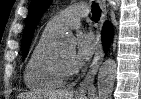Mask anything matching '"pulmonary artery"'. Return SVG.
<instances>
[{"label": "pulmonary artery", "instance_id": "pulmonary-artery-1", "mask_svg": "<svg viewBox=\"0 0 141 99\" xmlns=\"http://www.w3.org/2000/svg\"><path fill=\"white\" fill-rule=\"evenodd\" d=\"M87 14L88 8L84 4L70 6L51 18L44 30L59 35L68 29L79 27L81 18Z\"/></svg>", "mask_w": 141, "mask_h": 99}]
</instances>
